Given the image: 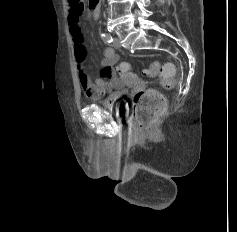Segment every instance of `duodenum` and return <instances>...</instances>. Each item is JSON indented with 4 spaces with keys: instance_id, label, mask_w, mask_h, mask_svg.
Listing matches in <instances>:
<instances>
[{
    "instance_id": "410a0bca",
    "label": "duodenum",
    "mask_w": 237,
    "mask_h": 232,
    "mask_svg": "<svg viewBox=\"0 0 237 232\" xmlns=\"http://www.w3.org/2000/svg\"><path fill=\"white\" fill-rule=\"evenodd\" d=\"M99 0H89V3L92 7H97Z\"/></svg>"
}]
</instances>
